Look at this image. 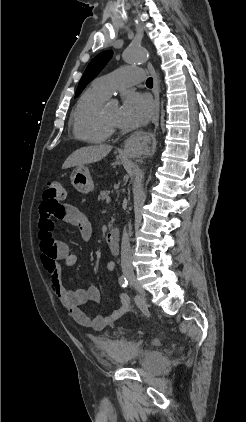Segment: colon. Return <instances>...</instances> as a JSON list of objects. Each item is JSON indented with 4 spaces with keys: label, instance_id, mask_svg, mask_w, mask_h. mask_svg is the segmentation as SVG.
<instances>
[{
    "label": "colon",
    "instance_id": "colon-1",
    "mask_svg": "<svg viewBox=\"0 0 246 422\" xmlns=\"http://www.w3.org/2000/svg\"><path fill=\"white\" fill-rule=\"evenodd\" d=\"M65 188L61 182L55 181L48 184L43 194V202L50 208L56 209L61 207L65 199Z\"/></svg>",
    "mask_w": 246,
    "mask_h": 422
}]
</instances>
